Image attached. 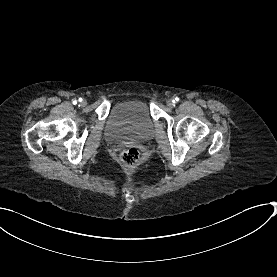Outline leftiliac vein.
I'll list each match as a JSON object with an SVG mask.
<instances>
[{"mask_svg":"<svg viewBox=\"0 0 277 277\" xmlns=\"http://www.w3.org/2000/svg\"><path fill=\"white\" fill-rule=\"evenodd\" d=\"M167 106L170 107V108H172V107L174 106V101H173L172 99H169V100L167 101Z\"/></svg>","mask_w":277,"mask_h":277,"instance_id":"1","label":"left iliac vein"}]
</instances>
